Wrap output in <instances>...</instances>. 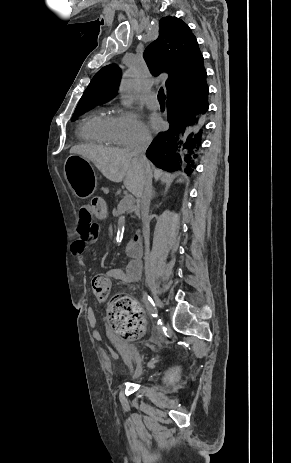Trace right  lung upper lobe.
<instances>
[{
    "label": "right lung upper lobe",
    "instance_id": "cb5924a9",
    "mask_svg": "<svg viewBox=\"0 0 291 463\" xmlns=\"http://www.w3.org/2000/svg\"><path fill=\"white\" fill-rule=\"evenodd\" d=\"M144 59L154 75L168 72L167 94L195 90L206 72L203 56L191 29L179 18L167 16L159 22V36L144 52ZM121 72L116 65L98 71L79 105H100L112 99L118 90Z\"/></svg>",
    "mask_w": 291,
    "mask_h": 463
}]
</instances>
